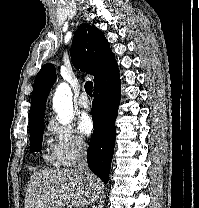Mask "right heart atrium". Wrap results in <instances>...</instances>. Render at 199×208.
<instances>
[{"label":"right heart atrium","mask_w":199,"mask_h":208,"mask_svg":"<svg viewBox=\"0 0 199 208\" xmlns=\"http://www.w3.org/2000/svg\"><path fill=\"white\" fill-rule=\"evenodd\" d=\"M48 131L52 136L50 153L58 164L70 166L85 154L87 145L84 138L77 135L70 125H62L52 119Z\"/></svg>","instance_id":"obj_1"}]
</instances>
